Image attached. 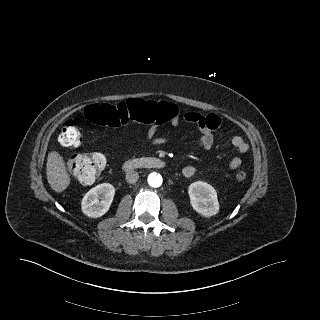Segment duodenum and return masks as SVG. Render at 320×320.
Listing matches in <instances>:
<instances>
[{
	"label": "duodenum",
	"mask_w": 320,
	"mask_h": 320,
	"mask_svg": "<svg viewBox=\"0 0 320 320\" xmlns=\"http://www.w3.org/2000/svg\"><path fill=\"white\" fill-rule=\"evenodd\" d=\"M165 162L162 159L155 157H142L127 160L123 169L125 171H131L134 169H160L165 167Z\"/></svg>",
	"instance_id": "obj_1"
}]
</instances>
